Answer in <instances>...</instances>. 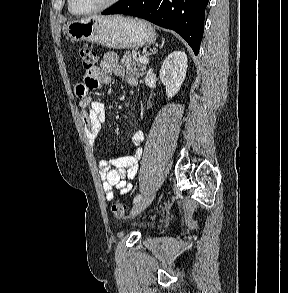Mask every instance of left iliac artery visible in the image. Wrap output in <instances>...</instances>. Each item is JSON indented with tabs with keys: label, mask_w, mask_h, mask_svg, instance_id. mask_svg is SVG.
Returning a JSON list of instances; mask_svg holds the SVG:
<instances>
[{
	"label": "left iliac artery",
	"mask_w": 288,
	"mask_h": 293,
	"mask_svg": "<svg viewBox=\"0 0 288 293\" xmlns=\"http://www.w3.org/2000/svg\"><path fill=\"white\" fill-rule=\"evenodd\" d=\"M141 199H142V195L139 194V195H137V196L134 198L133 202H134V203H137V202L140 201Z\"/></svg>",
	"instance_id": "left-iliac-artery-1"
}]
</instances>
